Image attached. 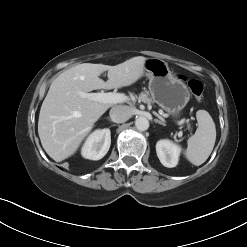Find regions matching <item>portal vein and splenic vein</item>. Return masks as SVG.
<instances>
[{
	"mask_svg": "<svg viewBox=\"0 0 247 247\" xmlns=\"http://www.w3.org/2000/svg\"><path fill=\"white\" fill-rule=\"evenodd\" d=\"M79 94L83 98H87L89 100L100 102V103L116 104V103L125 102L127 100V97L124 94L113 93V92H109V93H103V92L102 93H85V92H79ZM179 135L182 136V132H180Z\"/></svg>",
	"mask_w": 247,
	"mask_h": 247,
	"instance_id": "portal-vein-and-splenic-vein-1",
	"label": "portal vein and splenic vein"
}]
</instances>
